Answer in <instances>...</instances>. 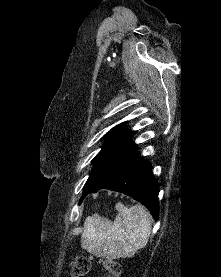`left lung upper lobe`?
<instances>
[{
	"label": "left lung upper lobe",
	"mask_w": 221,
	"mask_h": 277,
	"mask_svg": "<svg viewBox=\"0 0 221 277\" xmlns=\"http://www.w3.org/2000/svg\"><path fill=\"white\" fill-rule=\"evenodd\" d=\"M125 123L113 127L104 136L106 142L92 160L95 166L84 189L113 176L138 154L137 147L131 138L134 132L126 130Z\"/></svg>",
	"instance_id": "1"
}]
</instances>
